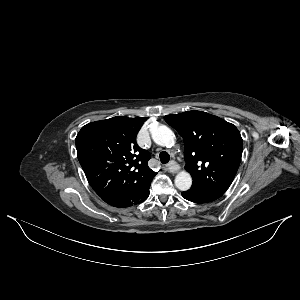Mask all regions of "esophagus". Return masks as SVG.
I'll list each match as a JSON object with an SVG mask.
<instances>
[{
    "label": "esophagus",
    "mask_w": 300,
    "mask_h": 300,
    "mask_svg": "<svg viewBox=\"0 0 300 300\" xmlns=\"http://www.w3.org/2000/svg\"><path fill=\"white\" fill-rule=\"evenodd\" d=\"M166 167L170 173H175L179 169L178 165L174 161L169 162Z\"/></svg>",
    "instance_id": "1"
}]
</instances>
